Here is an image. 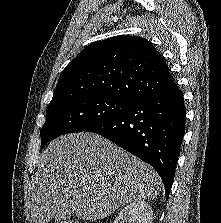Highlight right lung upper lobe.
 <instances>
[{"mask_svg":"<svg viewBox=\"0 0 221 223\" xmlns=\"http://www.w3.org/2000/svg\"><path fill=\"white\" fill-rule=\"evenodd\" d=\"M175 86L148 40L121 35L88 45L68 64L50 103L85 95L135 102Z\"/></svg>","mask_w":221,"mask_h":223,"instance_id":"cb5924a9","label":"right lung upper lobe"}]
</instances>
